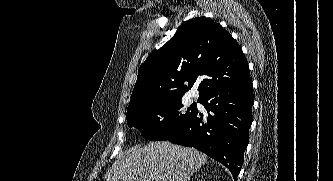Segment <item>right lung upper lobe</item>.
<instances>
[{
  "label": "right lung upper lobe",
  "instance_id": "right-lung-upper-lobe-1",
  "mask_svg": "<svg viewBox=\"0 0 333 181\" xmlns=\"http://www.w3.org/2000/svg\"><path fill=\"white\" fill-rule=\"evenodd\" d=\"M249 77L248 63L232 36L209 18L191 19L141 65L127 111L152 101L182 98L195 82H200L201 99Z\"/></svg>",
  "mask_w": 333,
  "mask_h": 181
}]
</instances>
